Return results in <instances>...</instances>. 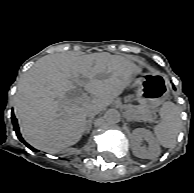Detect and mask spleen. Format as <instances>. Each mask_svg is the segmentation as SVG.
I'll return each mask as SVG.
<instances>
[{"label":"spleen","instance_id":"1","mask_svg":"<svg viewBox=\"0 0 194 193\" xmlns=\"http://www.w3.org/2000/svg\"><path fill=\"white\" fill-rule=\"evenodd\" d=\"M159 113L161 120L154 127V133L163 147L170 148L175 145L182 126L180 109L174 103L166 101L160 108Z\"/></svg>","mask_w":194,"mask_h":193}]
</instances>
